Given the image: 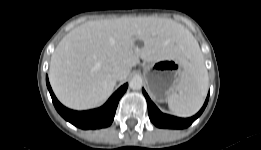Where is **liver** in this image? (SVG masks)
I'll return each mask as SVG.
<instances>
[{
  "label": "liver",
  "mask_w": 261,
  "mask_h": 150,
  "mask_svg": "<svg viewBox=\"0 0 261 150\" xmlns=\"http://www.w3.org/2000/svg\"><path fill=\"white\" fill-rule=\"evenodd\" d=\"M144 42L135 47L134 39ZM197 45L181 24L165 18L123 17L88 21L72 29L51 56L49 80L65 106L84 110L104 103L112 94L115 66L129 70L141 58L148 63L179 58L188 62L187 50Z\"/></svg>",
  "instance_id": "1"
}]
</instances>
